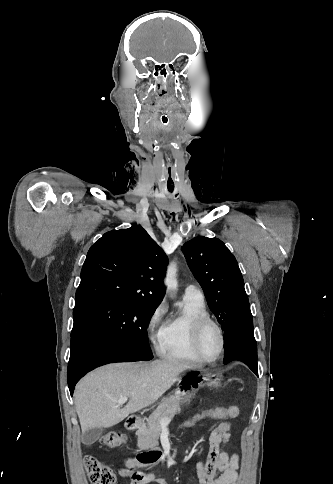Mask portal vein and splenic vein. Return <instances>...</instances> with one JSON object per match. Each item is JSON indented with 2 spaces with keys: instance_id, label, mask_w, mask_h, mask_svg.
<instances>
[{
  "instance_id": "1",
  "label": "portal vein and splenic vein",
  "mask_w": 333,
  "mask_h": 484,
  "mask_svg": "<svg viewBox=\"0 0 333 484\" xmlns=\"http://www.w3.org/2000/svg\"><path fill=\"white\" fill-rule=\"evenodd\" d=\"M127 400H128V397H121V398H119V399L117 400V403H118L119 405H122V404L126 403V402H127ZM170 422H171V419H168V418H164V419H161V420H160V424H161L162 426H167V425H169V423H170Z\"/></svg>"
}]
</instances>
